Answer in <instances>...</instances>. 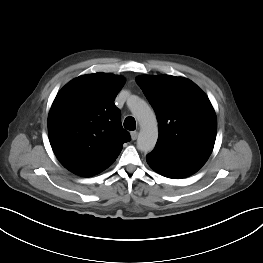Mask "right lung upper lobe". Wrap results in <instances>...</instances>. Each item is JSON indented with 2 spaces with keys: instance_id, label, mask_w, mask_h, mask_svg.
<instances>
[{
  "instance_id": "1",
  "label": "right lung upper lobe",
  "mask_w": 263,
  "mask_h": 263,
  "mask_svg": "<svg viewBox=\"0 0 263 263\" xmlns=\"http://www.w3.org/2000/svg\"><path fill=\"white\" fill-rule=\"evenodd\" d=\"M124 82L121 76L94 73L75 78L57 94L48 117L49 140L69 171L83 177L102 172L130 140L114 104Z\"/></svg>"
}]
</instances>
